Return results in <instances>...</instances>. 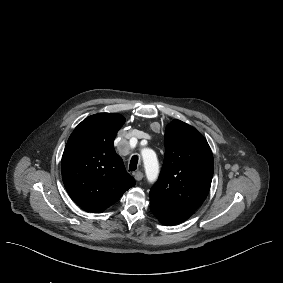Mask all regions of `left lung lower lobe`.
I'll return each mask as SVG.
<instances>
[{"label": "left lung lower lobe", "mask_w": 283, "mask_h": 283, "mask_svg": "<svg viewBox=\"0 0 283 283\" xmlns=\"http://www.w3.org/2000/svg\"><path fill=\"white\" fill-rule=\"evenodd\" d=\"M150 209L154 216L164 225L181 223L194 213L192 210L168 206L152 199H150Z\"/></svg>", "instance_id": "left-lung-lower-lobe-1"}]
</instances>
